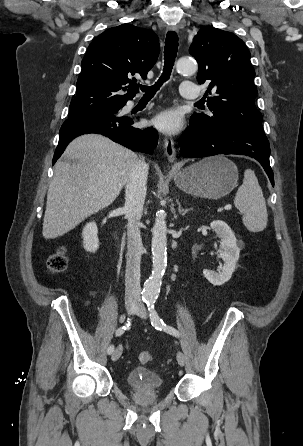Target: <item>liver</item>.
I'll return each mask as SVG.
<instances>
[{
  "mask_svg": "<svg viewBox=\"0 0 303 446\" xmlns=\"http://www.w3.org/2000/svg\"><path fill=\"white\" fill-rule=\"evenodd\" d=\"M59 161L49 185L43 237L55 239L106 208L128 181L138 156L101 135L74 139Z\"/></svg>",
  "mask_w": 303,
  "mask_h": 446,
  "instance_id": "liver-1",
  "label": "liver"
}]
</instances>
